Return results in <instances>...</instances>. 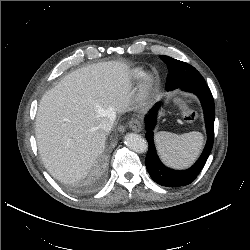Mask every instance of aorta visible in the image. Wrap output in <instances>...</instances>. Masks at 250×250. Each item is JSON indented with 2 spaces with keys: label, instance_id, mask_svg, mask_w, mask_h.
Wrapping results in <instances>:
<instances>
[{
  "label": "aorta",
  "instance_id": "aorta-1",
  "mask_svg": "<svg viewBox=\"0 0 250 250\" xmlns=\"http://www.w3.org/2000/svg\"><path fill=\"white\" fill-rule=\"evenodd\" d=\"M124 143L131 150L144 153L148 149V144L146 140L139 134L136 133H128L124 137Z\"/></svg>",
  "mask_w": 250,
  "mask_h": 250
}]
</instances>
